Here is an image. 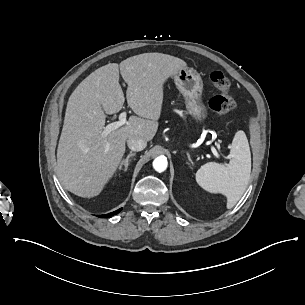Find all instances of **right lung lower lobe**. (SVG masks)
I'll use <instances>...</instances> for the list:
<instances>
[{
    "label": "right lung lower lobe",
    "mask_w": 305,
    "mask_h": 305,
    "mask_svg": "<svg viewBox=\"0 0 305 305\" xmlns=\"http://www.w3.org/2000/svg\"><path fill=\"white\" fill-rule=\"evenodd\" d=\"M121 210H122V208L118 209V210H116L112 213H109V214H106V215H101L100 217H109V216H112V215H115V214L119 213Z\"/></svg>",
    "instance_id": "98d812e1"
}]
</instances>
